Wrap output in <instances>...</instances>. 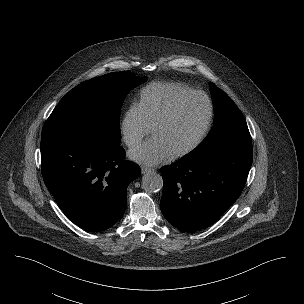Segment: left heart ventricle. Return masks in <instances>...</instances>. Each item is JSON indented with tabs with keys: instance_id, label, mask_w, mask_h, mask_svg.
Here are the masks:
<instances>
[{
	"instance_id": "b2bd125f",
	"label": "left heart ventricle",
	"mask_w": 304,
	"mask_h": 304,
	"mask_svg": "<svg viewBox=\"0 0 304 304\" xmlns=\"http://www.w3.org/2000/svg\"><path fill=\"white\" fill-rule=\"evenodd\" d=\"M208 114L206 101L201 97L186 100L172 118L153 133L171 154L190 145L201 132Z\"/></svg>"
}]
</instances>
